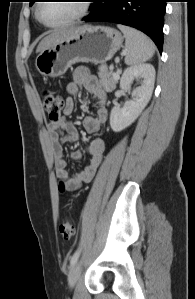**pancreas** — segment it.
<instances>
[{"instance_id":"pancreas-1","label":"pancreas","mask_w":195,"mask_h":299,"mask_svg":"<svg viewBox=\"0 0 195 299\" xmlns=\"http://www.w3.org/2000/svg\"><path fill=\"white\" fill-rule=\"evenodd\" d=\"M98 76L102 86L106 91L111 92L113 89H115L119 78L113 77V72L108 70L106 64H101L99 66Z\"/></svg>"}]
</instances>
